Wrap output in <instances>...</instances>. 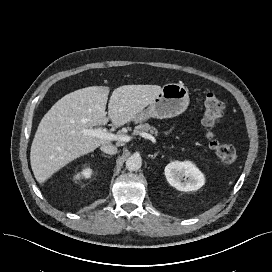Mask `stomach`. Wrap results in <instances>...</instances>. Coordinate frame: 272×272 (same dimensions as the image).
<instances>
[{
  "label": "stomach",
  "instance_id": "0dacf381",
  "mask_svg": "<svg viewBox=\"0 0 272 272\" xmlns=\"http://www.w3.org/2000/svg\"><path fill=\"white\" fill-rule=\"evenodd\" d=\"M189 105L188 89L182 84L168 83L149 104L148 108L136 114L133 121L143 122L149 118H172L182 114Z\"/></svg>",
  "mask_w": 272,
  "mask_h": 272
}]
</instances>
